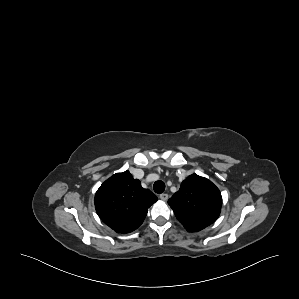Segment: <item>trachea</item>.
I'll use <instances>...</instances> for the list:
<instances>
[{"mask_svg": "<svg viewBox=\"0 0 299 299\" xmlns=\"http://www.w3.org/2000/svg\"><path fill=\"white\" fill-rule=\"evenodd\" d=\"M153 189L157 194H161L165 190V183L163 181H156Z\"/></svg>", "mask_w": 299, "mask_h": 299, "instance_id": "3493384b", "label": "trachea"}]
</instances>
